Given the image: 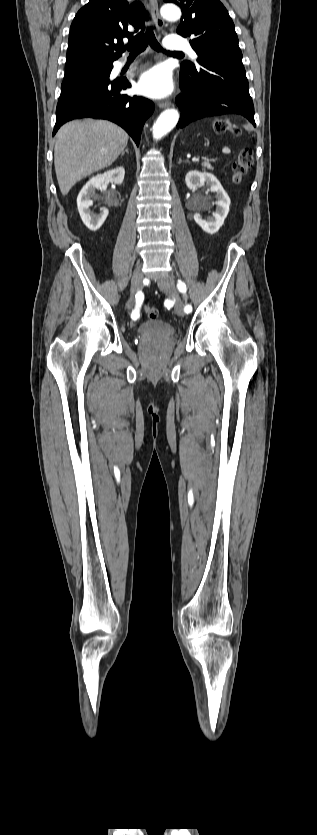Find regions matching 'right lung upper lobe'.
<instances>
[{
    "label": "right lung upper lobe",
    "instance_id": "obj_1",
    "mask_svg": "<svg viewBox=\"0 0 317 835\" xmlns=\"http://www.w3.org/2000/svg\"><path fill=\"white\" fill-rule=\"evenodd\" d=\"M146 18L140 2L128 5L127 0H90L71 24L67 58L96 55L111 62L117 60L125 51L123 38L129 42L137 40L144 31Z\"/></svg>",
    "mask_w": 317,
    "mask_h": 835
}]
</instances>
